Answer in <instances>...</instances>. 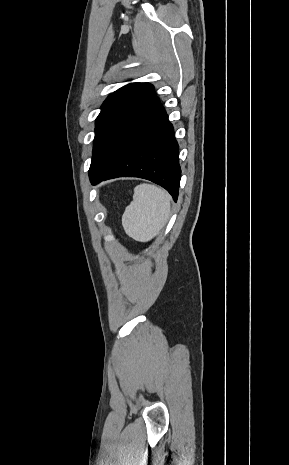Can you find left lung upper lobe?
Segmentation results:
<instances>
[{
  "label": "left lung upper lobe",
  "mask_w": 289,
  "mask_h": 465,
  "mask_svg": "<svg viewBox=\"0 0 289 465\" xmlns=\"http://www.w3.org/2000/svg\"><path fill=\"white\" fill-rule=\"evenodd\" d=\"M155 96L154 87L149 83H130L108 96L95 122L93 157L89 173L116 147Z\"/></svg>",
  "instance_id": "5c2ea615"
}]
</instances>
